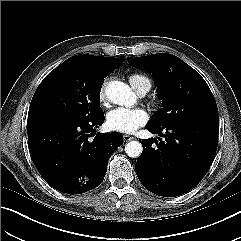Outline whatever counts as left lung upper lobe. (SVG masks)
<instances>
[{
	"mask_svg": "<svg viewBox=\"0 0 241 241\" xmlns=\"http://www.w3.org/2000/svg\"><path fill=\"white\" fill-rule=\"evenodd\" d=\"M132 66L151 72L158 84L163 108L149 126L162 128L184 122L219 124L212 92L202 76L177 56L167 53L127 57Z\"/></svg>",
	"mask_w": 241,
	"mask_h": 241,
	"instance_id": "1",
	"label": "left lung upper lobe"
}]
</instances>
